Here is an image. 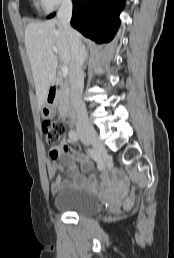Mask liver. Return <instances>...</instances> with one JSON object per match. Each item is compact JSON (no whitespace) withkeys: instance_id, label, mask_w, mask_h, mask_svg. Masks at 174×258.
Instances as JSON below:
<instances>
[{"instance_id":"obj_1","label":"liver","mask_w":174,"mask_h":258,"mask_svg":"<svg viewBox=\"0 0 174 258\" xmlns=\"http://www.w3.org/2000/svg\"><path fill=\"white\" fill-rule=\"evenodd\" d=\"M79 38L81 35L78 33ZM25 46L31 64L38 107L41 109L49 89L56 81L58 59L70 67L71 50L64 29L57 19L30 23L25 29ZM58 50V58L53 51Z\"/></svg>"}]
</instances>
